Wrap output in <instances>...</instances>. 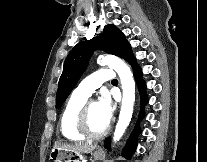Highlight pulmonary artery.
Returning a JSON list of instances; mask_svg holds the SVG:
<instances>
[{
    "label": "pulmonary artery",
    "instance_id": "e3ab8cb5",
    "mask_svg": "<svg viewBox=\"0 0 207 162\" xmlns=\"http://www.w3.org/2000/svg\"><path fill=\"white\" fill-rule=\"evenodd\" d=\"M113 79L114 73L111 70L101 69L81 81L75 91L85 97H90L104 82Z\"/></svg>",
    "mask_w": 207,
    "mask_h": 162
}]
</instances>
